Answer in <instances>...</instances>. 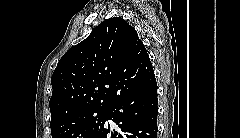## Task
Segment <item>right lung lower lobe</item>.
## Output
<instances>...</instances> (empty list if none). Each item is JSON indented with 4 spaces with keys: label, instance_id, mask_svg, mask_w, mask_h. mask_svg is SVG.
Wrapping results in <instances>:
<instances>
[{
    "label": "right lung lower lobe",
    "instance_id": "98d812e1",
    "mask_svg": "<svg viewBox=\"0 0 240 138\" xmlns=\"http://www.w3.org/2000/svg\"><path fill=\"white\" fill-rule=\"evenodd\" d=\"M157 83L155 75L136 89L117 98L108 107L106 121L93 138H156Z\"/></svg>",
    "mask_w": 240,
    "mask_h": 138
}]
</instances>
